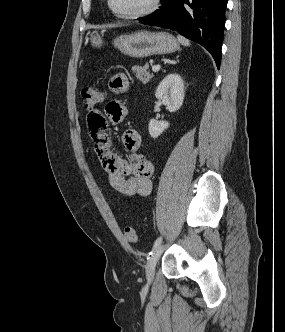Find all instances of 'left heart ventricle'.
<instances>
[{"label":"left heart ventricle","instance_id":"b2bd125f","mask_svg":"<svg viewBox=\"0 0 285 332\" xmlns=\"http://www.w3.org/2000/svg\"><path fill=\"white\" fill-rule=\"evenodd\" d=\"M152 0H112L116 11L122 14L135 13L148 8Z\"/></svg>","mask_w":285,"mask_h":332}]
</instances>
